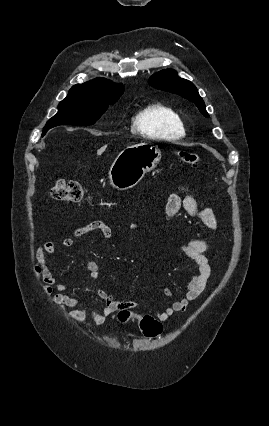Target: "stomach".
<instances>
[{
    "label": "stomach",
    "instance_id": "1",
    "mask_svg": "<svg viewBox=\"0 0 269 426\" xmlns=\"http://www.w3.org/2000/svg\"><path fill=\"white\" fill-rule=\"evenodd\" d=\"M157 146L139 143L124 149L113 162L109 171L110 184L123 191L136 186L144 175L160 162Z\"/></svg>",
    "mask_w": 269,
    "mask_h": 426
}]
</instances>
